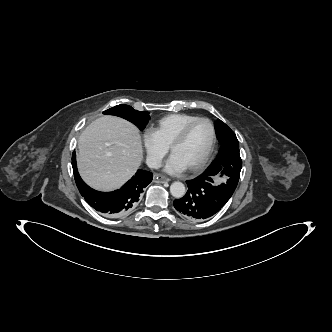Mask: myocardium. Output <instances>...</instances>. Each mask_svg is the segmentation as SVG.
Instances as JSON below:
<instances>
[{
	"instance_id": "f54148a6",
	"label": "myocardium",
	"mask_w": 332,
	"mask_h": 332,
	"mask_svg": "<svg viewBox=\"0 0 332 332\" xmlns=\"http://www.w3.org/2000/svg\"><path fill=\"white\" fill-rule=\"evenodd\" d=\"M201 121L207 122L210 125L211 130H212V138H211L210 145H209L207 151L204 153V155L195 164H193L192 166L187 168V170H189L190 172H196V171L200 170L206 164V162L209 160V158L215 148V145L217 142V130H216V127H215L214 123L212 122V120H210L207 117H198V118L188 122L186 125H184L182 127V129L179 131V133L176 135V137L173 139V141L169 145V151L172 153L174 148L177 147L178 145H180L184 141V139L186 138L191 127L194 124L201 122Z\"/></svg>"
}]
</instances>
